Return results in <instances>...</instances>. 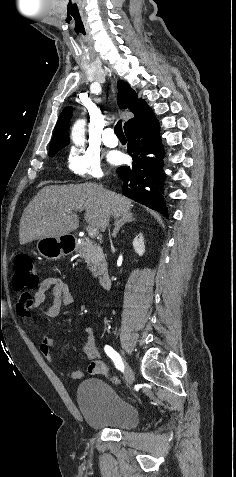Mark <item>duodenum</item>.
<instances>
[{
    "label": "duodenum",
    "mask_w": 236,
    "mask_h": 477,
    "mask_svg": "<svg viewBox=\"0 0 236 477\" xmlns=\"http://www.w3.org/2000/svg\"><path fill=\"white\" fill-rule=\"evenodd\" d=\"M76 246L75 239H65L64 247L67 249H73ZM112 281L108 273H103L99 279V285L102 289H109L111 287Z\"/></svg>",
    "instance_id": "410a0bca"
}]
</instances>
